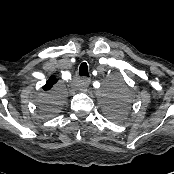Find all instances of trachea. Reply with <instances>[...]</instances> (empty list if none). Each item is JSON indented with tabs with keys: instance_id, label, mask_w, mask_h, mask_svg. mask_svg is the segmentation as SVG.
I'll return each instance as SVG.
<instances>
[{
	"instance_id": "1",
	"label": "trachea",
	"mask_w": 174,
	"mask_h": 174,
	"mask_svg": "<svg viewBox=\"0 0 174 174\" xmlns=\"http://www.w3.org/2000/svg\"><path fill=\"white\" fill-rule=\"evenodd\" d=\"M79 75L89 77L87 63L83 62L79 67Z\"/></svg>"
}]
</instances>
